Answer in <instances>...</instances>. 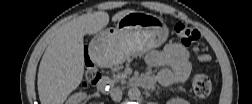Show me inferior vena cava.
<instances>
[{
	"label": "inferior vena cava",
	"mask_w": 252,
	"mask_h": 104,
	"mask_svg": "<svg viewBox=\"0 0 252 104\" xmlns=\"http://www.w3.org/2000/svg\"><path fill=\"white\" fill-rule=\"evenodd\" d=\"M111 98L115 101V102H120L122 99V91L119 88H115L111 91Z\"/></svg>",
	"instance_id": "inferior-vena-cava-1"
}]
</instances>
